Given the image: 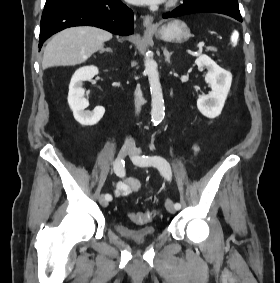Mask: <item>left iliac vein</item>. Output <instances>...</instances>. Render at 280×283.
I'll list each match as a JSON object with an SVG mask.
<instances>
[{"mask_svg":"<svg viewBox=\"0 0 280 283\" xmlns=\"http://www.w3.org/2000/svg\"><path fill=\"white\" fill-rule=\"evenodd\" d=\"M140 154H141V150H140V149H137V148L133 149V150L130 152L129 155H130L132 161H133L135 164H138V163H137V157H138ZM165 207H166V209L168 210V212H170V213H175L176 210H177V209L175 208V206H174V204H173V202H172L171 199H166V201H165Z\"/></svg>","mask_w":280,"mask_h":283,"instance_id":"4c4485c4","label":"left iliac vein"}]
</instances>
